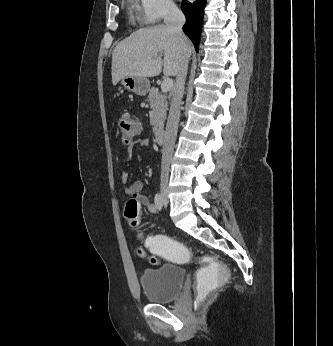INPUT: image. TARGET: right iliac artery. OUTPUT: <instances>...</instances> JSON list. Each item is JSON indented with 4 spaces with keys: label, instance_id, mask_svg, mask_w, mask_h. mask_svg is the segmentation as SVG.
Returning <instances> with one entry per match:
<instances>
[{
    "label": "right iliac artery",
    "instance_id": "obj_1",
    "mask_svg": "<svg viewBox=\"0 0 333 346\" xmlns=\"http://www.w3.org/2000/svg\"><path fill=\"white\" fill-rule=\"evenodd\" d=\"M155 205L158 210H161L163 207V198L160 193H157L154 198Z\"/></svg>",
    "mask_w": 333,
    "mask_h": 346
}]
</instances>
